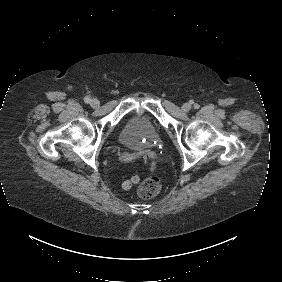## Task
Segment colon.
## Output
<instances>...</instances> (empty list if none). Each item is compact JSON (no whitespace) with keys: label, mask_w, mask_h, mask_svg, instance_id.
Returning <instances> with one entry per match:
<instances>
[{"label":"colon","mask_w":282,"mask_h":282,"mask_svg":"<svg viewBox=\"0 0 282 282\" xmlns=\"http://www.w3.org/2000/svg\"><path fill=\"white\" fill-rule=\"evenodd\" d=\"M156 167H157V163L151 160L148 164L149 170L153 171L156 169ZM139 177L140 176L135 175L132 178L125 180L122 183V187L125 189L131 188ZM148 177H151V180L148 179ZM145 178H147V180L142 182V184L137 188V194L140 198L147 200L155 197L160 192L161 182L160 180L156 179V176L155 178H152V175H148Z\"/></svg>","instance_id":"1"}]
</instances>
